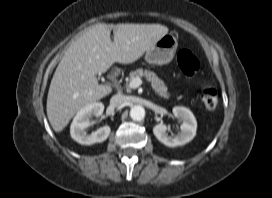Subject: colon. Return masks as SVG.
<instances>
[{
  "instance_id": "colon-1",
  "label": "colon",
  "mask_w": 272,
  "mask_h": 198,
  "mask_svg": "<svg viewBox=\"0 0 272 198\" xmlns=\"http://www.w3.org/2000/svg\"><path fill=\"white\" fill-rule=\"evenodd\" d=\"M177 63L180 70L189 76L196 74L200 68L198 58L188 49H181L178 52ZM201 100L205 108L214 109L218 103L217 91L213 87L203 88Z\"/></svg>"
}]
</instances>
